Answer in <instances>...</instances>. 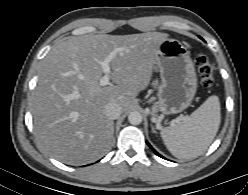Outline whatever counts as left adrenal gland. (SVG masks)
<instances>
[{"label": "left adrenal gland", "mask_w": 248, "mask_h": 195, "mask_svg": "<svg viewBox=\"0 0 248 195\" xmlns=\"http://www.w3.org/2000/svg\"><path fill=\"white\" fill-rule=\"evenodd\" d=\"M152 132L156 133V131L154 130V127L152 126Z\"/></svg>", "instance_id": "1"}]
</instances>
